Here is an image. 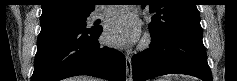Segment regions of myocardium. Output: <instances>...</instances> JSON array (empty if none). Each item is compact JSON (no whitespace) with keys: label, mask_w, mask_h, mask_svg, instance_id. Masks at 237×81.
Listing matches in <instances>:
<instances>
[{"label":"myocardium","mask_w":237,"mask_h":81,"mask_svg":"<svg viewBox=\"0 0 237 81\" xmlns=\"http://www.w3.org/2000/svg\"><path fill=\"white\" fill-rule=\"evenodd\" d=\"M151 44V36L150 34L146 33L143 39L140 42L139 49L144 50L147 49Z\"/></svg>","instance_id":"1"}]
</instances>
